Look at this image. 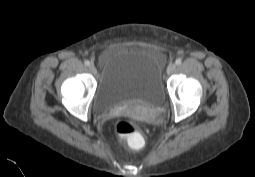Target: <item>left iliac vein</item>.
I'll use <instances>...</instances> for the list:
<instances>
[{"instance_id": "obj_1", "label": "left iliac vein", "mask_w": 255, "mask_h": 177, "mask_svg": "<svg viewBox=\"0 0 255 177\" xmlns=\"http://www.w3.org/2000/svg\"><path fill=\"white\" fill-rule=\"evenodd\" d=\"M176 69V65L175 64H170L168 67H167V74H172Z\"/></svg>"}]
</instances>
